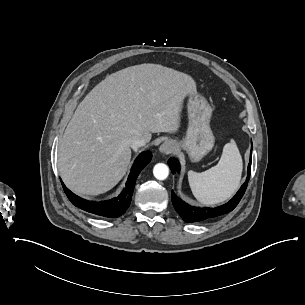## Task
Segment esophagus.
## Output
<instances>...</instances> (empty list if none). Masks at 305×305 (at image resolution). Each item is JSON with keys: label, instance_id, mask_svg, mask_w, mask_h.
Segmentation results:
<instances>
[{"label": "esophagus", "instance_id": "obj_1", "mask_svg": "<svg viewBox=\"0 0 305 305\" xmlns=\"http://www.w3.org/2000/svg\"><path fill=\"white\" fill-rule=\"evenodd\" d=\"M159 149H160V152L169 154L174 151L175 147L171 142L165 141L164 143H162V145L160 146Z\"/></svg>", "mask_w": 305, "mask_h": 305}]
</instances>
